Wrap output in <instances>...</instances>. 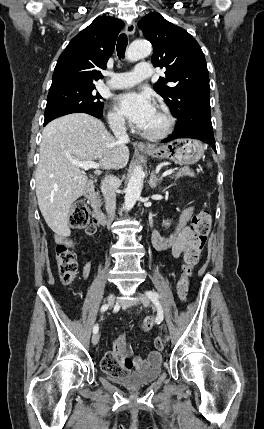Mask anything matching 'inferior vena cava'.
Instances as JSON below:
<instances>
[{"label":"inferior vena cava","mask_w":264,"mask_h":429,"mask_svg":"<svg viewBox=\"0 0 264 429\" xmlns=\"http://www.w3.org/2000/svg\"><path fill=\"white\" fill-rule=\"evenodd\" d=\"M112 131L119 143L129 142V137L126 132L125 121L122 118H116L111 123ZM116 182L117 178L113 175L105 176L101 181V191L104 197L105 208L108 214L107 223L112 228V222L116 221Z\"/></svg>","instance_id":"602c4592"}]
</instances>
